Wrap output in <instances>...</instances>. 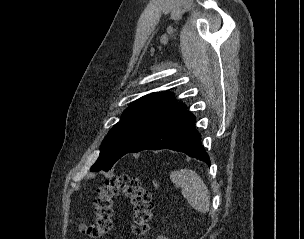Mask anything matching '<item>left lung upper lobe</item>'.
<instances>
[{
  "instance_id": "1",
  "label": "left lung upper lobe",
  "mask_w": 304,
  "mask_h": 239,
  "mask_svg": "<svg viewBox=\"0 0 304 239\" xmlns=\"http://www.w3.org/2000/svg\"><path fill=\"white\" fill-rule=\"evenodd\" d=\"M185 111L170 92L151 93L132 103L109 131L91 171H108L114 163L160 126Z\"/></svg>"
}]
</instances>
